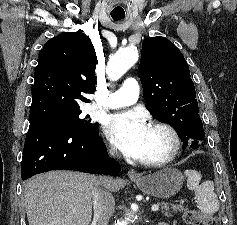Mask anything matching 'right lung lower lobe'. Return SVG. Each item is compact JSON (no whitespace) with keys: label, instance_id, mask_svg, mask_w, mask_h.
Instances as JSON below:
<instances>
[{"label":"right lung lower lobe","instance_id":"obj_1","mask_svg":"<svg viewBox=\"0 0 237 225\" xmlns=\"http://www.w3.org/2000/svg\"><path fill=\"white\" fill-rule=\"evenodd\" d=\"M59 169L116 176L120 165L106 155L99 129L80 133L59 126L30 124L21 163L22 180Z\"/></svg>","mask_w":237,"mask_h":225}]
</instances>
